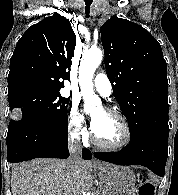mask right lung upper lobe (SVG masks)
Returning a JSON list of instances; mask_svg holds the SVG:
<instances>
[{
	"instance_id": "cb5924a9",
	"label": "right lung upper lobe",
	"mask_w": 178,
	"mask_h": 195,
	"mask_svg": "<svg viewBox=\"0 0 178 195\" xmlns=\"http://www.w3.org/2000/svg\"><path fill=\"white\" fill-rule=\"evenodd\" d=\"M76 35L68 19L56 13L32 25L10 59L8 96L25 90H60L70 77Z\"/></svg>"
}]
</instances>
